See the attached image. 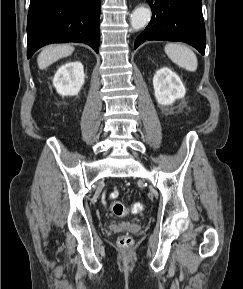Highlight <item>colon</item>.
<instances>
[{
	"mask_svg": "<svg viewBox=\"0 0 243 289\" xmlns=\"http://www.w3.org/2000/svg\"><path fill=\"white\" fill-rule=\"evenodd\" d=\"M145 206L142 202H135L129 208H126L120 201L112 203V211L115 215L122 217L128 213L139 214L144 210ZM132 238L128 235H123L119 238L118 243L123 248H128L132 245Z\"/></svg>",
	"mask_w": 243,
	"mask_h": 289,
	"instance_id": "colon-1",
	"label": "colon"
}]
</instances>
